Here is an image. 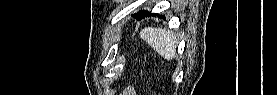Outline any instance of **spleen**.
<instances>
[{"label":"spleen","instance_id":"obj_1","mask_svg":"<svg viewBox=\"0 0 277 95\" xmlns=\"http://www.w3.org/2000/svg\"><path fill=\"white\" fill-rule=\"evenodd\" d=\"M139 35L164 59L169 61L175 58L178 40L173 32L162 28L148 27L142 29Z\"/></svg>","mask_w":277,"mask_h":95}]
</instances>
